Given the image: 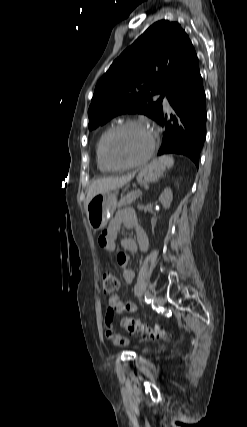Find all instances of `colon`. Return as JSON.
Listing matches in <instances>:
<instances>
[{
    "instance_id": "colon-1",
    "label": "colon",
    "mask_w": 247,
    "mask_h": 427,
    "mask_svg": "<svg viewBox=\"0 0 247 427\" xmlns=\"http://www.w3.org/2000/svg\"><path fill=\"white\" fill-rule=\"evenodd\" d=\"M119 287L118 278L112 273H105L102 279V290L106 295L117 291ZM122 326L130 333L140 334L144 337L166 340L170 338V333L165 329L149 327L134 317H127L122 320Z\"/></svg>"
}]
</instances>
